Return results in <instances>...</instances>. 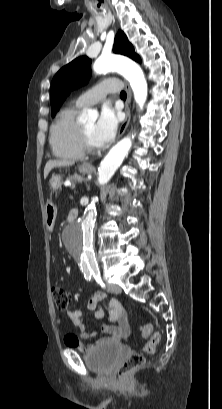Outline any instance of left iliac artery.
Segmentation results:
<instances>
[{
	"mask_svg": "<svg viewBox=\"0 0 222 409\" xmlns=\"http://www.w3.org/2000/svg\"><path fill=\"white\" fill-rule=\"evenodd\" d=\"M93 276L95 278V280L97 281L98 284L101 285V287H105L104 283L102 282L101 276H100V271L98 269V267L93 269Z\"/></svg>",
	"mask_w": 222,
	"mask_h": 409,
	"instance_id": "obj_1",
	"label": "left iliac artery"
}]
</instances>
